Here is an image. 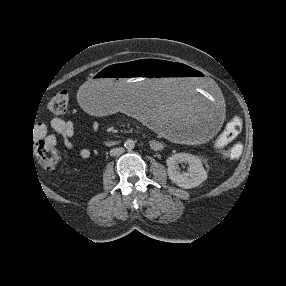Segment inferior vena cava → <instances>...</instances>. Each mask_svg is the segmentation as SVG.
Returning <instances> with one entry per match:
<instances>
[{
  "label": "inferior vena cava",
  "mask_w": 286,
  "mask_h": 286,
  "mask_svg": "<svg viewBox=\"0 0 286 286\" xmlns=\"http://www.w3.org/2000/svg\"><path fill=\"white\" fill-rule=\"evenodd\" d=\"M124 152V148L119 147V148H113L110 150V155L111 156H120L121 154H123Z\"/></svg>",
  "instance_id": "1"
}]
</instances>
